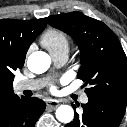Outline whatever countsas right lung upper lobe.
Segmentation results:
<instances>
[{
  "mask_svg": "<svg viewBox=\"0 0 127 127\" xmlns=\"http://www.w3.org/2000/svg\"><path fill=\"white\" fill-rule=\"evenodd\" d=\"M47 20H0V108L17 97L12 87L14 72L23 67L29 46L44 30Z\"/></svg>",
  "mask_w": 127,
  "mask_h": 127,
  "instance_id": "1",
  "label": "right lung upper lobe"
}]
</instances>
